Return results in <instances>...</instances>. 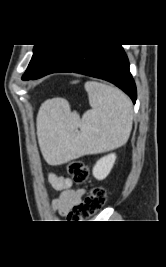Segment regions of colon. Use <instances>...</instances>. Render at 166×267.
<instances>
[{
	"instance_id": "colon-1",
	"label": "colon",
	"mask_w": 166,
	"mask_h": 267,
	"mask_svg": "<svg viewBox=\"0 0 166 267\" xmlns=\"http://www.w3.org/2000/svg\"><path fill=\"white\" fill-rule=\"evenodd\" d=\"M68 174L74 182L86 184L89 181V169L81 161H72L67 167ZM106 202V192L100 186L91 187L84 200L75 205L68 213V222H83L91 215L98 212Z\"/></svg>"
}]
</instances>
